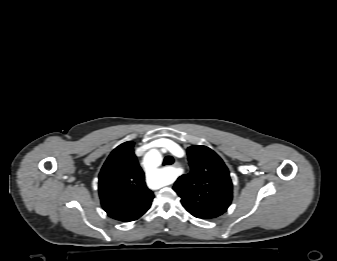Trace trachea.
<instances>
[{
	"label": "trachea",
	"instance_id": "1",
	"mask_svg": "<svg viewBox=\"0 0 337 261\" xmlns=\"http://www.w3.org/2000/svg\"><path fill=\"white\" fill-rule=\"evenodd\" d=\"M174 163V159L171 156H167L164 158L163 165H171Z\"/></svg>",
	"mask_w": 337,
	"mask_h": 261
}]
</instances>
